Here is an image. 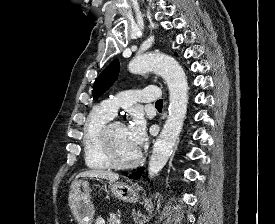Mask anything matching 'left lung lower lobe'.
<instances>
[{
	"label": "left lung lower lobe",
	"mask_w": 275,
	"mask_h": 224,
	"mask_svg": "<svg viewBox=\"0 0 275 224\" xmlns=\"http://www.w3.org/2000/svg\"><path fill=\"white\" fill-rule=\"evenodd\" d=\"M143 173V168H140L136 173L130 176L132 179H139Z\"/></svg>",
	"instance_id": "left-lung-lower-lobe-1"
}]
</instances>
